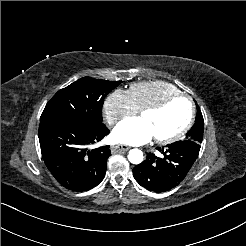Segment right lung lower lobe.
I'll return each mask as SVG.
<instances>
[{
    "mask_svg": "<svg viewBox=\"0 0 246 246\" xmlns=\"http://www.w3.org/2000/svg\"><path fill=\"white\" fill-rule=\"evenodd\" d=\"M107 134L109 129L103 123L40 122L38 136L43 160L65 188L78 192L90 190L103 180L111 153L109 146L90 147Z\"/></svg>",
    "mask_w": 246,
    "mask_h": 246,
    "instance_id": "right-lung-lower-lobe-1",
    "label": "right lung lower lobe"
}]
</instances>
